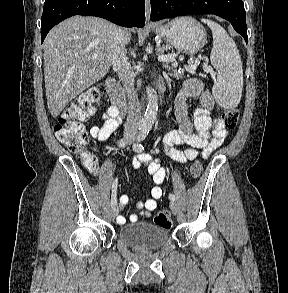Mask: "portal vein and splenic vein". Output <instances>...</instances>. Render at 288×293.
<instances>
[{
    "label": "portal vein and splenic vein",
    "mask_w": 288,
    "mask_h": 293,
    "mask_svg": "<svg viewBox=\"0 0 288 293\" xmlns=\"http://www.w3.org/2000/svg\"><path fill=\"white\" fill-rule=\"evenodd\" d=\"M97 56L93 55L92 59H95ZM158 61L160 62H170V61H176L175 58L173 57V55H161L158 57ZM199 65V62H195L194 64H189L188 66H185V69L190 72V73H194L197 66ZM204 70L206 72H210L211 74H214L213 68L211 67H204Z\"/></svg>",
    "instance_id": "18ae733b"
}]
</instances>
